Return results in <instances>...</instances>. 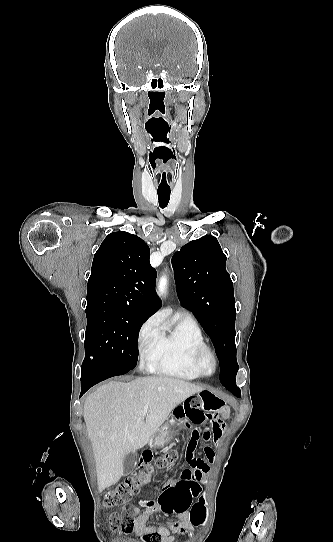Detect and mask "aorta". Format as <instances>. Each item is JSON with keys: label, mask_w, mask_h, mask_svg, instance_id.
Instances as JSON below:
<instances>
[{"label": "aorta", "mask_w": 333, "mask_h": 542, "mask_svg": "<svg viewBox=\"0 0 333 542\" xmlns=\"http://www.w3.org/2000/svg\"><path fill=\"white\" fill-rule=\"evenodd\" d=\"M165 284H166V280H164V278H161L160 280V284L158 286L159 288V294H163L164 290H165Z\"/></svg>", "instance_id": "obj_1"}]
</instances>
